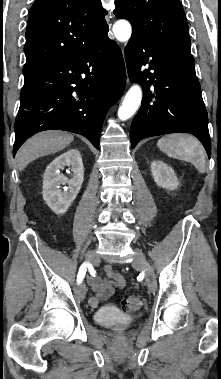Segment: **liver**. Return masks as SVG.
I'll return each mask as SVG.
<instances>
[{"instance_id": "liver-1", "label": "liver", "mask_w": 221, "mask_h": 379, "mask_svg": "<svg viewBox=\"0 0 221 379\" xmlns=\"http://www.w3.org/2000/svg\"><path fill=\"white\" fill-rule=\"evenodd\" d=\"M74 137L58 130L40 132L28 139L17 153V164L22 171L31 161L48 154L56 153L68 146Z\"/></svg>"}]
</instances>
